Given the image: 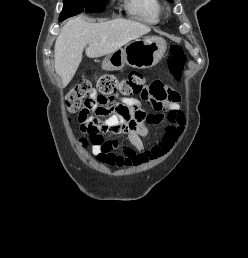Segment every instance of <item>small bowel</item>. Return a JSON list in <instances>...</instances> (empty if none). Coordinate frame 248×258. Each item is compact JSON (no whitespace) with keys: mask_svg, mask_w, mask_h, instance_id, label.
Wrapping results in <instances>:
<instances>
[{"mask_svg":"<svg viewBox=\"0 0 248 258\" xmlns=\"http://www.w3.org/2000/svg\"><path fill=\"white\" fill-rule=\"evenodd\" d=\"M153 84L156 93L154 96H147L145 100L152 110H165L167 113H148L136 99L127 101L128 113L126 115L111 114L108 108L96 106L97 114L109 116L105 122L90 121L86 118L85 111L81 112L80 123L83 131L93 125L101 131L108 128L115 133L129 131L132 134L130 145L124 146L120 153L116 152L119 148L117 141L93 143L92 152L100 163L119 167L141 165L165 157L175 147L185 125V118L178 105L180 95L166 88L160 81H155ZM164 123L166 126L160 139L147 147L141 140V137H146L149 133L146 124L161 125Z\"/></svg>","mask_w":248,"mask_h":258,"instance_id":"c3829d8e","label":"small bowel"}]
</instances>
